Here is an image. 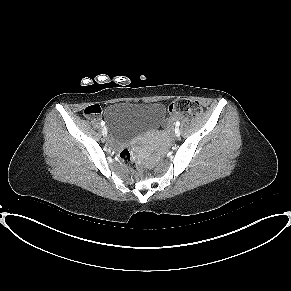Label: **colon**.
<instances>
[{"label": "colon", "instance_id": "1", "mask_svg": "<svg viewBox=\"0 0 291 291\" xmlns=\"http://www.w3.org/2000/svg\"><path fill=\"white\" fill-rule=\"evenodd\" d=\"M169 113L175 115L198 116L201 113V106L197 101L190 99H176L168 107ZM101 113L98 105H90L85 108L84 114L89 118H97ZM121 160L130 168L135 177L140 176V170L136 167L131 151L127 148L120 153Z\"/></svg>", "mask_w": 291, "mask_h": 291}]
</instances>
